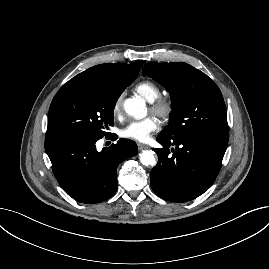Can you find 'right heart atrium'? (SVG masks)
Segmentation results:
<instances>
[{"instance_id":"1","label":"right heart atrium","mask_w":269,"mask_h":269,"mask_svg":"<svg viewBox=\"0 0 269 269\" xmlns=\"http://www.w3.org/2000/svg\"><path fill=\"white\" fill-rule=\"evenodd\" d=\"M123 94H119L112 105V114L114 117H119L122 111Z\"/></svg>"}]
</instances>
